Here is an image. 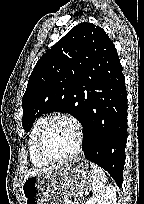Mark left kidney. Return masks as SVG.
Listing matches in <instances>:
<instances>
[{
	"mask_svg": "<svg viewBox=\"0 0 144 204\" xmlns=\"http://www.w3.org/2000/svg\"><path fill=\"white\" fill-rule=\"evenodd\" d=\"M116 189L113 186H108L91 197L86 204H117Z\"/></svg>",
	"mask_w": 144,
	"mask_h": 204,
	"instance_id": "left-kidney-1",
	"label": "left kidney"
}]
</instances>
